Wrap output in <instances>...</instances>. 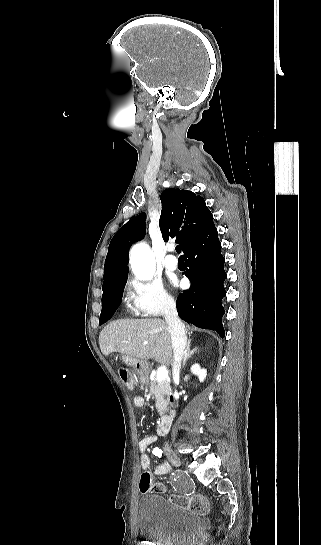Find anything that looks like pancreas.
Masks as SVG:
<instances>
[{
	"mask_svg": "<svg viewBox=\"0 0 321 545\" xmlns=\"http://www.w3.org/2000/svg\"><path fill=\"white\" fill-rule=\"evenodd\" d=\"M150 371L151 369H148V371H145V378L147 383H149L150 385L151 395H155L156 409L159 415H163L164 411H166L168 397L171 393L170 383L168 379H164V381H159V383L158 381H150L149 379Z\"/></svg>",
	"mask_w": 321,
	"mask_h": 545,
	"instance_id": "cf45deb5",
	"label": "pancreas"
}]
</instances>
